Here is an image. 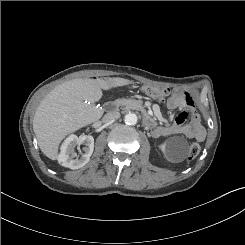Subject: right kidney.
<instances>
[{"label":"right kidney","instance_id":"ca27d5eb","mask_svg":"<svg viewBox=\"0 0 245 245\" xmlns=\"http://www.w3.org/2000/svg\"><path fill=\"white\" fill-rule=\"evenodd\" d=\"M84 144V153L81 157L77 156L75 147L78 148ZM94 150V138L90 135L76 136L70 135L62 144L61 152L58 156L59 163L70 169H78L85 166L93 153Z\"/></svg>","mask_w":245,"mask_h":245}]
</instances>
